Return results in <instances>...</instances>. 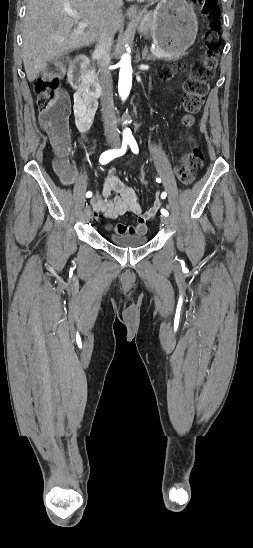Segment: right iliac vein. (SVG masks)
Segmentation results:
<instances>
[{
  "label": "right iliac vein",
  "mask_w": 253,
  "mask_h": 548,
  "mask_svg": "<svg viewBox=\"0 0 253 548\" xmlns=\"http://www.w3.org/2000/svg\"><path fill=\"white\" fill-rule=\"evenodd\" d=\"M84 215H85L86 221H89L91 218V209L89 206L85 208Z\"/></svg>",
  "instance_id": "obj_1"
}]
</instances>
